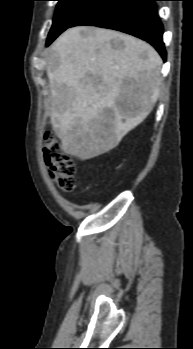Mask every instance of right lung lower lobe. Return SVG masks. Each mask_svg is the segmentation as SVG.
I'll list each match as a JSON object with an SVG mask.
<instances>
[{"instance_id":"obj_1","label":"right lung lower lobe","mask_w":193,"mask_h":349,"mask_svg":"<svg viewBox=\"0 0 193 349\" xmlns=\"http://www.w3.org/2000/svg\"><path fill=\"white\" fill-rule=\"evenodd\" d=\"M155 1L158 0H101L70 27L91 25L131 34L149 42L166 60L163 25Z\"/></svg>"}]
</instances>
